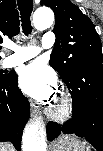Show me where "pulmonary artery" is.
<instances>
[{
	"label": "pulmonary artery",
	"mask_w": 103,
	"mask_h": 151,
	"mask_svg": "<svg viewBox=\"0 0 103 151\" xmlns=\"http://www.w3.org/2000/svg\"><path fill=\"white\" fill-rule=\"evenodd\" d=\"M55 37L53 33L48 32L42 38V48L48 49L53 46ZM15 53L9 59L10 66H16L25 61H28L41 52V48L37 46H15Z\"/></svg>",
	"instance_id": "1"
}]
</instances>
